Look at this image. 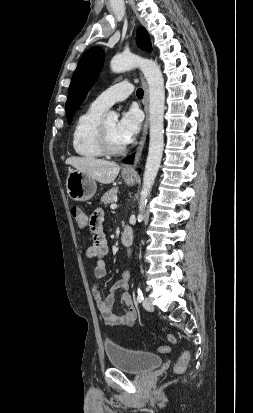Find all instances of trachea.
Here are the masks:
<instances>
[{"label":"trachea","instance_id":"trachea-1","mask_svg":"<svg viewBox=\"0 0 253 413\" xmlns=\"http://www.w3.org/2000/svg\"><path fill=\"white\" fill-rule=\"evenodd\" d=\"M136 95L139 99H142L144 95L143 89L142 88L137 89Z\"/></svg>","mask_w":253,"mask_h":413}]
</instances>
